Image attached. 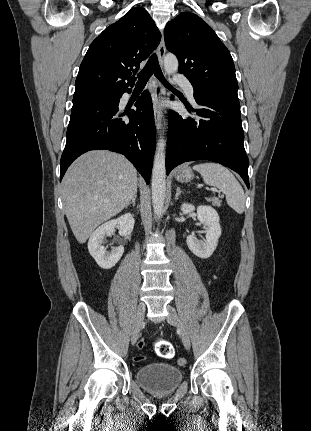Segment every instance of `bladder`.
Returning <instances> with one entry per match:
<instances>
[{
    "mask_svg": "<svg viewBox=\"0 0 311 431\" xmlns=\"http://www.w3.org/2000/svg\"><path fill=\"white\" fill-rule=\"evenodd\" d=\"M138 384L146 391L163 395L175 391L183 380V372L168 363H149L136 371Z\"/></svg>",
    "mask_w": 311,
    "mask_h": 431,
    "instance_id": "1",
    "label": "bladder"
}]
</instances>
